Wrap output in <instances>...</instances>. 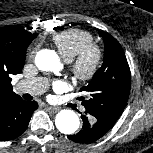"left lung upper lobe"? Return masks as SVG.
<instances>
[{"label": "left lung upper lobe", "instance_id": "obj_1", "mask_svg": "<svg viewBox=\"0 0 153 153\" xmlns=\"http://www.w3.org/2000/svg\"><path fill=\"white\" fill-rule=\"evenodd\" d=\"M99 35L104 40V62L90 83L80 90L88 93V99H82L86 113L111 128L127 104L131 73L118 41L105 32Z\"/></svg>", "mask_w": 153, "mask_h": 153}]
</instances>
